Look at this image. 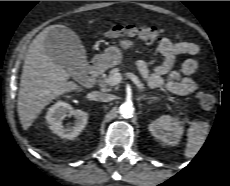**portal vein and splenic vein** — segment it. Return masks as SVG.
I'll return each instance as SVG.
<instances>
[{"mask_svg":"<svg viewBox=\"0 0 230 186\" xmlns=\"http://www.w3.org/2000/svg\"><path fill=\"white\" fill-rule=\"evenodd\" d=\"M125 75L126 77L130 78L139 89H143V84L140 82V80L136 75L130 72L126 73ZM121 80H122V75L120 73H115L112 77L113 85L120 83Z\"/></svg>","mask_w":230,"mask_h":186,"instance_id":"obj_1","label":"portal vein and splenic vein"}]
</instances>
